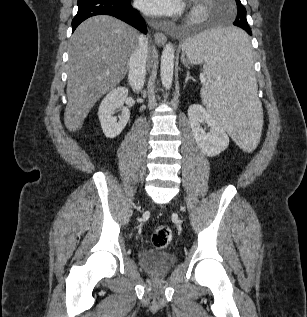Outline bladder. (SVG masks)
I'll use <instances>...</instances> for the list:
<instances>
[{
  "label": "bladder",
  "mask_w": 307,
  "mask_h": 317,
  "mask_svg": "<svg viewBox=\"0 0 307 317\" xmlns=\"http://www.w3.org/2000/svg\"><path fill=\"white\" fill-rule=\"evenodd\" d=\"M138 262L141 268L152 275H163L176 263V256L169 251H159L150 248L140 250Z\"/></svg>",
  "instance_id": "31cf9c89"
}]
</instances>
